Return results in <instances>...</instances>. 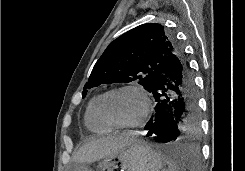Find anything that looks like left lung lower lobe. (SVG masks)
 Segmentation results:
<instances>
[{"label": "left lung lower lobe", "mask_w": 245, "mask_h": 171, "mask_svg": "<svg viewBox=\"0 0 245 171\" xmlns=\"http://www.w3.org/2000/svg\"><path fill=\"white\" fill-rule=\"evenodd\" d=\"M157 102L155 113L144 127L147 136L162 143H177L192 132L198 122V97L189 62L181 47L165 60L162 74L150 91ZM181 167H196L199 157L193 147L176 152Z\"/></svg>", "instance_id": "0a47b994"}]
</instances>
